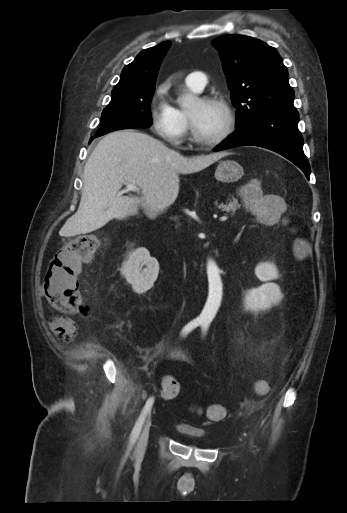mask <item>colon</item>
Segmentation results:
<instances>
[{"instance_id":"1","label":"colon","mask_w":347,"mask_h":513,"mask_svg":"<svg viewBox=\"0 0 347 513\" xmlns=\"http://www.w3.org/2000/svg\"><path fill=\"white\" fill-rule=\"evenodd\" d=\"M242 199L246 207L257 213V220L262 224L274 225L279 220L285 219L287 207L281 202L278 196L270 195L264 197L260 187L256 184H249L242 187ZM100 246V240L96 235H81L62 245L49 263L44 277L45 297L49 304L56 310L63 313L80 311L88 315L92 306L83 302L78 289V275L84 264L88 263ZM309 254V249L304 240L296 244V255L303 259ZM92 321L91 317L87 318ZM269 388L266 381L256 384V392L265 394ZM181 392L180 383L173 377H165L162 383V394L165 399L173 400ZM207 417L213 421H220L226 415L224 406L214 404L208 407Z\"/></svg>"}]
</instances>
